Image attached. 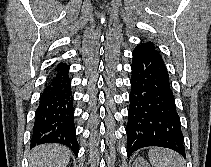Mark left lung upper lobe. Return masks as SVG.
I'll use <instances>...</instances> for the list:
<instances>
[{
    "mask_svg": "<svg viewBox=\"0 0 211 167\" xmlns=\"http://www.w3.org/2000/svg\"><path fill=\"white\" fill-rule=\"evenodd\" d=\"M139 47H144V48H149L151 50H153L161 59V55L155 50L153 43L151 42H146V43H142L141 45H138Z\"/></svg>",
    "mask_w": 211,
    "mask_h": 167,
    "instance_id": "1",
    "label": "left lung upper lobe"
}]
</instances>
